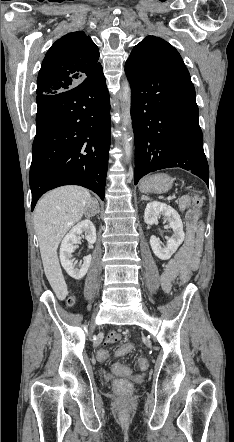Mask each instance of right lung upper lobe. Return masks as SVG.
Listing matches in <instances>:
<instances>
[{
    "label": "right lung upper lobe",
    "mask_w": 234,
    "mask_h": 442,
    "mask_svg": "<svg viewBox=\"0 0 234 442\" xmlns=\"http://www.w3.org/2000/svg\"><path fill=\"white\" fill-rule=\"evenodd\" d=\"M99 50L82 31L58 39L47 52L37 78V94L74 88L82 79L102 71Z\"/></svg>",
    "instance_id": "obj_1"
}]
</instances>
